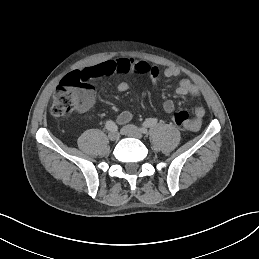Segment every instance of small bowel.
<instances>
[{
	"mask_svg": "<svg viewBox=\"0 0 259 259\" xmlns=\"http://www.w3.org/2000/svg\"><path fill=\"white\" fill-rule=\"evenodd\" d=\"M130 71L148 75L153 83H155L160 76L159 68L155 65L149 64L146 60L123 57L117 59H109L97 64H93L85 67L84 69L78 72L83 79L91 80L93 78L108 75L111 73H127ZM179 73L180 71L175 67H168L163 71V75L166 78L176 77L179 75ZM117 88L120 92H126L127 90H129L130 84L126 81H123L118 84ZM176 93L181 96H194L198 94V88L197 86L192 84L188 79H183L177 85ZM163 109L166 113L173 112L175 109L173 101H164ZM205 113V108L202 106H198L194 111V117L191 120H189L185 128L190 131L199 130ZM131 118L132 113L130 111H123L118 115L117 121L120 124H125L129 122Z\"/></svg>",
	"mask_w": 259,
	"mask_h": 259,
	"instance_id": "c3829d8e",
	"label": "small bowel"
}]
</instances>
